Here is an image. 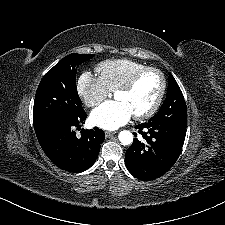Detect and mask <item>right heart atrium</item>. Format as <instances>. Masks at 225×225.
I'll return each instance as SVG.
<instances>
[{"label": "right heart atrium", "mask_w": 225, "mask_h": 225, "mask_svg": "<svg viewBox=\"0 0 225 225\" xmlns=\"http://www.w3.org/2000/svg\"><path fill=\"white\" fill-rule=\"evenodd\" d=\"M77 92L87 107H96L110 94L100 76L84 71L77 81Z\"/></svg>", "instance_id": "right-heart-atrium-1"}]
</instances>
